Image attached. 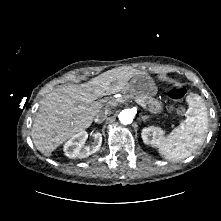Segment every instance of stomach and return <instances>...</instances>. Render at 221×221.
Listing matches in <instances>:
<instances>
[{
  "label": "stomach",
  "instance_id": "1",
  "mask_svg": "<svg viewBox=\"0 0 221 221\" xmlns=\"http://www.w3.org/2000/svg\"><path fill=\"white\" fill-rule=\"evenodd\" d=\"M127 88L132 94L141 95L144 98H151L156 93L155 84L146 76H138L132 80Z\"/></svg>",
  "mask_w": 221,
  "mask_h": 221
}]
</instances>
